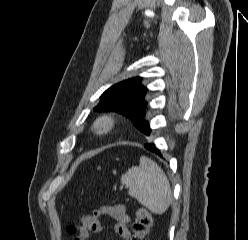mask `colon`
<instances>
[{
	"instance_id": "obj_1",
	"label": "colon",
	"mask_w": 248,
	"mask_h": 240,
	"mask_svg": "<svg viewBox=\"0 0 248 240\" xmlns=\"http://www.w3.org/2000/svg\"><path fill=\"white\" fill-rule=\"evenodd\" d=\"M152 226V217L148 210L138 207L135 220L132 225L131 240H146Z\"/></svg>"
}]
</instances>
